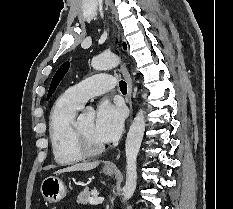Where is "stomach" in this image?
Segmentation results:
<instances>
[{
    "mask_svg": "<svg viewBox=\"0 0 233 209\" xmlns=\"http://www.w3.org/2000/svg\"><path fill=\"white\" fill-rule=\"evenodd\" d=\"M104 174L113 175L114 169H104ZM42 197L49 203H57L66 196V186L58 176H49L45 178L40 187Z\"/></svg>",
    "mask_w": 233,
    "mask_h": 209,
    "instance_id": "0dacf381",
    "label": "stomach"
}]
</instances>
